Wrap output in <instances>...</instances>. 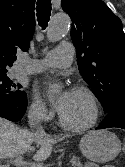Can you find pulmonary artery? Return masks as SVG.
Wrapping results in <instances>:
<instances>
[{
  "label": "pulmonary artery",
  "instance_id": "e3ab8cb5",
  "mask_svg": "<svg viewBox=\"0 0 125 167\" xmlns=\"http://www.w3.org/2000/svg\"><path fill=\"white\" fill-rule=\"evenodd\" d=\"M73 58V46L63 42L39 60L27 59L23 61L18 67V73L35 74L49 69H64L72 64Z\"/></svg>",
  "mask_w": 125,
  "mask_h": 167
}]
</instances>
